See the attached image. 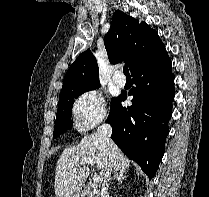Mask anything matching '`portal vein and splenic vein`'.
I'll list each match as a JSON object with an SVG mask.
<instances>
[{
    "label": "portal vein and splenic vein",
    "instance_id": "18ae733b",
    "mask_svg": "<svg viewBox=\"0 0 209 197\" xmlns=\"http://www.w3.org/2000/svg\"><path fill=\"white\" fill-rule=\"evenodd\" d=\"M84 164H88V165L94 166L95 162H94V160H92L90 158H85V159L80 161V165H84ZM93 181L94 182H100L101 181L100 175L95 174L93 176Z\"/></svg>",
    "mask_w": 209,
    "mask_h": 197
}]
</instances>
